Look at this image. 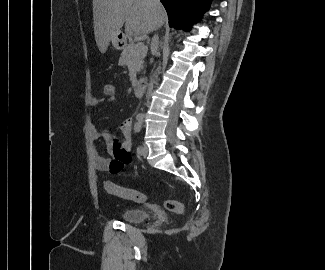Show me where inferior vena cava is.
I'll list each match as a JSON object with an SVG mask.
<instances>
[{
  "label": "inferior vena cava",
  "mask_w": 325,
  "mask_h": 270,
  "mask_svg": "<svg viewBox=\"0 0 325 270\" xmlns=\"http://www.w3.org/2000/svg\"><path fill=\"white\" fill-rule=\"evenodd\" d=\"M150 2H152L154 4H159L160 3L159 0H150ZM158 42H159L158 35H154L153 38H152L151 47L152 48H156L158 46ZM153 84H154V81L151 80L150 85H149V88H148L147 99H149V97H150V95L152 93Z\"/></svg>",
  "instance_id": "obj_1"
}]
</instances>
